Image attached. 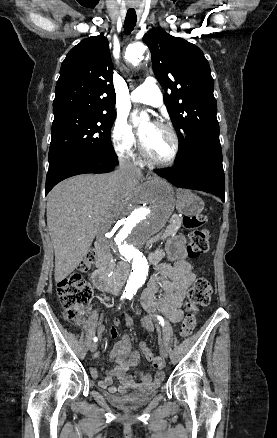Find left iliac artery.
Listing matches in <instances>:
<instances>
[{
	"label": "left iliac artery",
	"instance_id": "44dca946",
	"mask_svg": "<svg viewBox=\"0 0 277 438\" xmlns=\"http://www.w3.org/2000/svg\"><path fill=\"white\" fill-rule=\"evenodd\" d=\"M129 299H131V297H129ZM156 317H157V319L159 320L160 324H161L162 326H164V324H165L164 319H163L161 316H156Z\"/></svg>",
	"mask_w": 277,
	"mask_h": 438
}]
</instances>
